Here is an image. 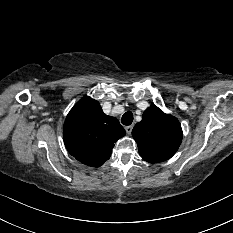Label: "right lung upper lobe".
<instances>
[{
	"instance_id": "right-lung-upper-lobe-1",
	"label": "right lung upper lobe",
	"mask_w": 233,
	"mask_h": 233,
	"mask_svg": "<svg viewBox=\"0 0 233 233\" xmlns=\"http://www.w3.org/2000/svg\"><path fill=\"white\" fill-rule=\"evenodd\" d=\"M126 132L115 117L103 113L98 101L83 97L71 109L63 128L68 152L81 163L99 167Z\"/></svg>"
}]
</instances>
